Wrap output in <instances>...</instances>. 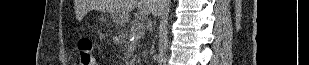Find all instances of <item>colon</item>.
<instances>
[{
	"instance_id": "5ec220e1",
	"label": "colon",
	"mask_w": 309,
	"mask_h": 65,
	"mask_svg": "<svg viewBox=\"0 0 309 65\" xmlns=\"http://www.w3.org/2000/svg\"><path fill=\"white\" fill-rule=\"evenodd\" d=\"M81 65H97L93 43L89 38H82L78 43Z\"/></svg>"
}]
</instances>
